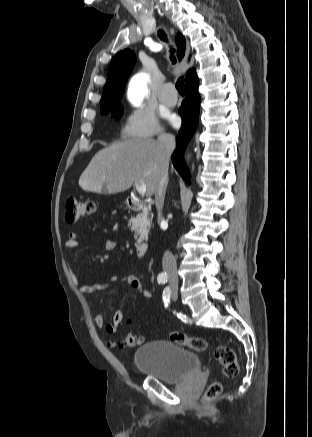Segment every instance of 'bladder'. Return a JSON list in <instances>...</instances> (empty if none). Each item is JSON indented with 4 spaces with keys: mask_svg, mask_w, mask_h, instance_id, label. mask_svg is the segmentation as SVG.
<instances>
[{
    "mask_svg": "<svg viewBox=\"0 0 312 437\" xmlns=\"http://www.w3.org/2000/svg\"><path fill=\"white\" fill-rule=\"evenodd\" d=\"M134 363L140 372L169 384L201 374L197 354L168 340L151 341L138 348Z\"/></svg>",
    "mask_w": 312,
    "mask_h": 437,
    "instance_id": "1",
    "label": "bladder"
}]
</instances>
